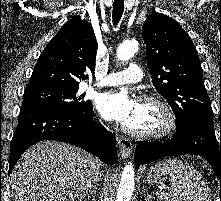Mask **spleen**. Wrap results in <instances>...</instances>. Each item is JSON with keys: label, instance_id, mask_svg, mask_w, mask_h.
Segmentation results:
<instances>
[{"label": "spleen", "instance_id": "1", "mask_svg": "<svg viewBox=\"0 0 221 201\" xmlns=\"http://www.w3.org/2000/svg\"><path fill=\"white\" fill-rule=\"evenodd\" d=\"M157 168H164L171 177L167 192L159 187L156 194L165 201H211V191L202 175L187 162L166 159Z\"/></svg>", "mask_w": 221, "mask_h": 201}]
</instances>
